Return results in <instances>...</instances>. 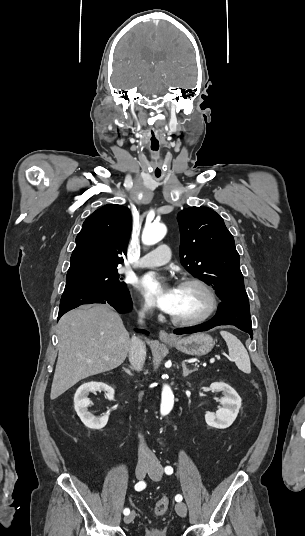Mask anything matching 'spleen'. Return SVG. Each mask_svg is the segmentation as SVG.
Masks as SVG:
<instances>
[{
	"label": "spleen",
	"mask_w": 305,
	"mask_h": 536,
	"mask_svg": "<svg viewBox=\"0 0 305 536\" xmlns=\"http://www.w3.org/2000/svg\"><path fill=\"white\" fill-rule=\"evenodd\" d=\"M220 334L228 346V352L231 360L235 362L237 368H239L241 372H244V374H250V358L246 348H244L240 340H238L236 336H233V334H229V332H220Z\"/></svg>",
	"instance_id": "3e777b00"
}]
</instances>
